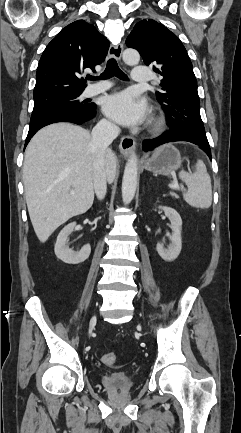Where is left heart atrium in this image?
Returning <instances> with one entry per match:
<instances>
[{
    "mask_svg": "<svg viewBox=\"0 0 241 433\" xmlns=\"http://www.w3.org/2000/svg\"><path fill=\"white\" fill-rule=\"evenodd\" d=\"M103 110L110 119L124 126L138 125L147 115L145 104L129 92H119L106 97Z\"/></svg>",
    "mask_w": 241,
    "mask_h": 433,
    "instance_id": "left-heart-atrium-1",
    "label": "left heart atrium"
}]
</instances>
